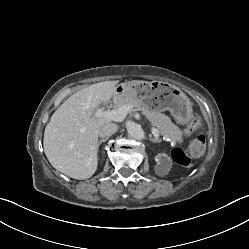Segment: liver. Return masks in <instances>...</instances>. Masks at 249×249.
Returning <instances> with one entry per match:
<instances>
[{
    "instance_id": "1",
    "label": "liver",
    "mask_w": 249,
    "mask_h": 249,
    "mask_svg": "<svg viewBox=\"0 0 249 249\" xmlns=\"http://www.w3.org/2000/svg\"><path fill=\"white\" fill-rule=\"evenodd\" d=\"M118 81L86 87L66 99L53 113L44 131V152L51 165L78 180L90 178L98 165L99 128L110 119L96 117L95 109L115 95Z\"/></svg>"
}]
</instances>
